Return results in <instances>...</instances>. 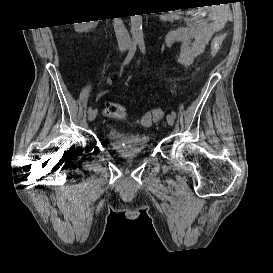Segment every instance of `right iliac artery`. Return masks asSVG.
<instances>
[{
    "label": "right iliac artery",
    "mask_w": 273,
    "mask_h": 273,
    "mask_svg": "<svg viewBox=\"0 0 273 273\" xmlns=\"http://www.w3.org/2000/svg\"><path fill=\"white\" fill-rule=\"evenodd\" d=\"M136 50H137V43H136V42H133L132 45H131V47H130V49H129V52H128L126 58H125L124 61H123V64H122L121 69H122L123 67H125L127 64L130 63V61L132 60V58H133V56H134ZM90 111H92V107H89L88 113H89Z\"/></svg>",
    "instance_id": "82829eb1"
}]
</instances>
